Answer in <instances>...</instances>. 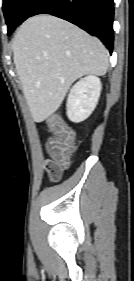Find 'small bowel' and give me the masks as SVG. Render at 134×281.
<instances>
[{"mask_svg":"<svg viewBox=\"0 0 134 281\" xmlns=\"http://www.w3.org/2000/svg\"><path fill=\"white\" fill-rule=\"evenodd\" d=\"M44 169L51 181H58L61 179L64 169H62L53 159L43 160Z\"/></svg>","mask_w":134,"mask_h":281,"instance_id":"small-bowel-1","label":"small bowel"}]
</instances>
